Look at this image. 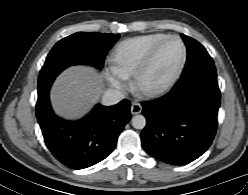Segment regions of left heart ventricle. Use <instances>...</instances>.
Here are the masks:
<instances>
[{"label":"left heart ventricle","mask_w":248,"mask_h":195,"mask_svg":"<svg viewBox=\"0 0 248 195\" xmlns=\"http://www.w3.org/2000/svg\"><path fill=\"white\" fill-rule=\"evenodd\" d=\"M183 55V48L178 40H170L160 51L154 67L145 78V85L156 87L165 83L177 70Z\"/></svg>","instance_id":"left-heart-ventricle-1"}]
</instances>
